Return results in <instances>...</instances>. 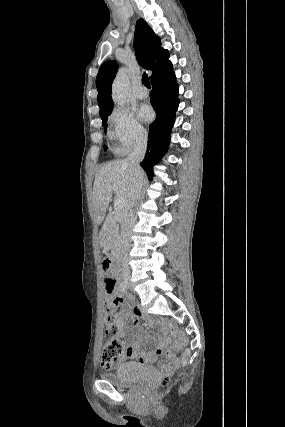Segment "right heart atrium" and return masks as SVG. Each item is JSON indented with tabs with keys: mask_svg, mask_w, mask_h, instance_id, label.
<instances>
[{
	"mask_svg": "<svg viewBox=\"0 0 285 427\" xmlns=\"http://www.w3.org/2000/svg\"><path fill=\"white\" fill-rule=\"evenodd\" d=\"M110 137L116 142L115 150L126 153L146 140L143 126L125 108H116L109 116Z\"/></svg>",
	"mask_w": 285,
	"mask_h": 427,
	"instance_id": "1",
	"label": "right heart atrium"
}]
</instances>
